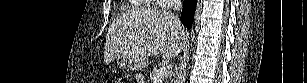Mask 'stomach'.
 I'll use <instances>...</instances> for the list:
<instances>
[{"label":"stomach","mask_w":307,"mask_h":83,"mask_svg":"<svg viewBox=\"0 0 307 83\" xmlns=\"http://www.w3.org/2000/svg\"><path fill=\"white\" fill-rule=\"evenodd\" d=\"M117 65L124 70H142L147 65L146 59H136L129 56H119Z\"/></svg>","instance_id":"0dacf381"}]
</instances>
